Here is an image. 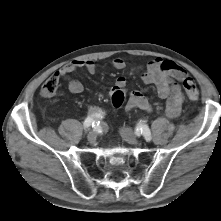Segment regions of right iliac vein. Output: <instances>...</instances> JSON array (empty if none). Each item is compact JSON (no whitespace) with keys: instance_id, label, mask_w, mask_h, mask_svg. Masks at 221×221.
<instances>
[{"instance_id":"right-iliac-vein-1","label":"right iliac vein","mask_w":221,"mask_h":221,"mask_svg":"<svg viewBox=\"0 0 221 221\" xmlns=\"http://www.w3.org/2000/svg\"><path fill=\"white\" fill-rule=\"evenodd\" d=\"M96 138H97V133L95 131L89 132V134L87 136L89 143H91V144L94 143L96 141Z\"/></svg>"}]
</instances>
